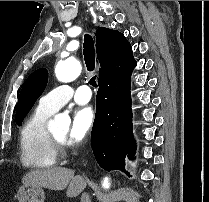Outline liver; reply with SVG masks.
Masks as SVG:
<instances>
[{"mask_svg": "<svg viewBox=\"0 0 209 202\" xmlns=\"http://www.w3.org/2000/svg\"><path fill=\"white\" fill-rule=\"evenodd\" d=\"M22 183L55 191L67 188V197L78 196L86 186V180L82 176H74L73 170L63 167L30 171L23 176Z\"/></svg>", "mask_w": 209, "mask_h": 202, "instance_id": "1", "label": "liver"}]
</instances>
